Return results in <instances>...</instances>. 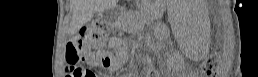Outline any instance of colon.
<instances>
[{"mask_svg":"<svg viewBox=\"0 0 258 77\" xmlns=\"http://www.w3.org/2000/svg\"><path fill=\"white\" fill-rule=\"evenodd\" d=\"M106 26L102 21L96 20L84 26L80 30V40L82 46L87 49H97L105 44ZM82 51L78 49L77 44H71L66 51L67 71L71 77H87L80 67ZM219 65V57L216 54H210L202 61V69L206 74H214Z\"/></svg>","mask_w":258,"mask_h":77,"instance_id":"obj_1","label":"colon"}]
</instances>
